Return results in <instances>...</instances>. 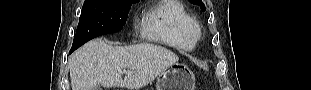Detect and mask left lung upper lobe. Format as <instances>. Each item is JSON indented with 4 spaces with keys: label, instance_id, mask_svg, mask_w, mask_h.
Wrapping results in <instances>:
<instances>
[{
    "label": "left lung upper lobe",
    "instance_id": "obj_1",
    "mask_svg": "<svg viewBox=\"0 0 311 90\" xmlns=\"http://www.w3.org/2000/svg\"><path fill=\"white\" fill-rule=\"evenodd\" d=\"M191 3L195 4V5H200L201 6V9L204 11L205 10V6L204 4L202 3L201 0H189Z\"/></svg>",
    "mask_w": 311,
    "mask_h": 90
}]
</instances>
